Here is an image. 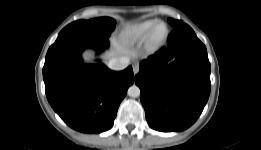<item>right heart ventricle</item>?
Listing matches in <instances>:
<instances>
[{
	"instance_id": "e07e8e85",
	"label": "right heart ventricle",
	"mask_w": 261,
	"mask_h": 150,
	"mask_svg": "<svg viewBox=\"0 0 261 150\" xmlns=\"http://www.w3.org/2000/svg\"><path fill=\"white\" fill-rule=\"evenodd\" d=\"M157 22L156 19H148L131 24L125 29L124 37L130 42L143 40Z\"/></svg>"
}]
</instances>
